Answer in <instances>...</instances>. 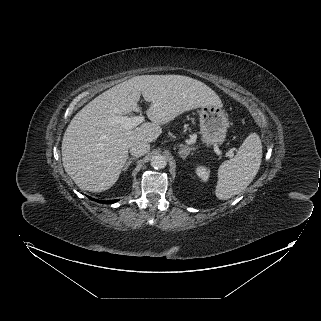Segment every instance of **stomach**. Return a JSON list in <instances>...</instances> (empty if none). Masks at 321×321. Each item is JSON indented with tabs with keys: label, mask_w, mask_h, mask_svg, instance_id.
I'll return each mask as SVG.
<instances>
[{
	"label": "stomach",
	"mask_w": 321,
	"mask_h": 321,
	"mask_svg": "<svg viewBox=\"0 0 321 321\" xmlns=\"http://www.w3.org/2000/svg\"><path fill=\"white\" fill-rule=\"evenodd\" d=\"M200 132L208 145L222 144L226 137L228 117L220 105L201 107L199 111Z\"/></svg>",
	"instance_id": "obj_1"
}]
</instances>
